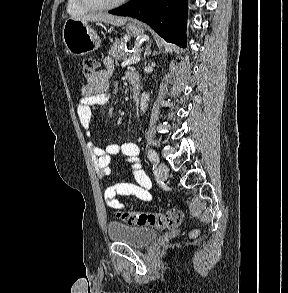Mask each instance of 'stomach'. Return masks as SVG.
Masks as SVG:
<instances>
[{
    "mask_svg": "<svg viewBox=\"0 0 288 293\" xmlns=\"http://www.w3.org/2000/svg\"><path fill=\"white\" fill-rule=\"evenodd\" d=\"M126 31L131 36L143 35V28L134 22L126 25ZM62 38L69 53L75 56L85 55L97 50L101 39L89 22L69 18L65 21Z\"/></svg>",
    "mask_w": 288,
    "mask_h": 293,
    "instance_id": "0dacf381",
    "label": "stomach"
}]
</instances>
